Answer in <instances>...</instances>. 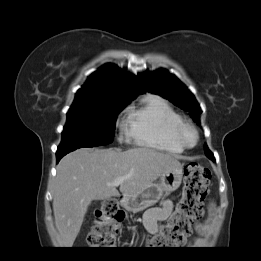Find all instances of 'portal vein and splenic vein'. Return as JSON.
Returning a JSON list of instances; mask_svg holds the SVG:
<instances>
[{
  "instance_id": "obj_1",
  "label": "portal vein and splenic vein",
  "mask_w": 261,
  "mask_h": 261,
  "mask_svg": "<svg viewBox=\"0 0 261 261\" xmlns=\"http://www.w3.org/2000/svg\"><path fill=\"white\" fill-rule=\"evenodd\" d=\"M129 178V176H125V177H118L116 178L112 183H109V185L112 186H118L120 185L125 179Z\"/></svg>"
}]
</instances>
